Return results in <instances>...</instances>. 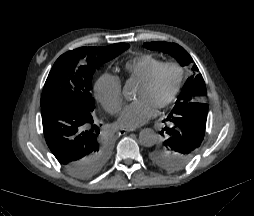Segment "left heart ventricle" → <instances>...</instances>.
<instances>
[{
  "mask_svg": "<svg viewBox=\"0 0 254 216\" xmlns=\"http://www.w3.org/2000/svg\"><path fill=\"white\" fill-rule=\"evenodd\" d=\"M175 79V71L165 69L151 87L139 85L135 98L146 99L156 107L169 96L175 84Z\"/></svg>",
  "mask_w": 254,
  "mask_h": 216,
  "instance_id": "left-heart-ventricle-1",
  "label": "left heart ventricle"
}]
</instances>
